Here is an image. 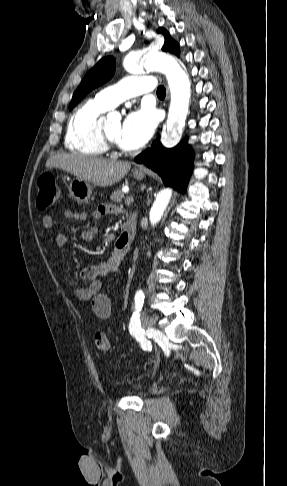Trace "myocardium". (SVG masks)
<instances>
[{
	"label": "myocardium",
	"mask_w": 287,
	"mask_h": 486,
	"mask_svg": "<svg viewBox=\"0 0 287 486\" xmlns=\"http://www.w3.org/2000/svg\"><path fill=\"white\" fill-rule=\"evenodd\" d=\"M101 138L107 148L110 149H121L119 143L111 139L106 133L105 129L101 128Z\"/></svg>",
	"instance_id": "f54148a6"
}]
</instances>
